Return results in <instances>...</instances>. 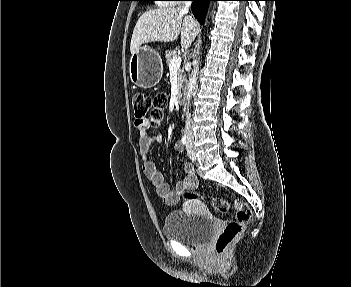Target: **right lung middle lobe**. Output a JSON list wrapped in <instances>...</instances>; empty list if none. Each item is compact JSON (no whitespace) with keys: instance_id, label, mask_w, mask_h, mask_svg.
<instances>
[{"instance_id":"right-lung-middle-lobe-1","label":"right lung middle lobe","mask_w":351,"mask_h":287,"mask_svg":"<svg viewBox=\"0 0 351 287\" xmlns=\"http://www.w3.org/2000/svg\"><path fill=\"white\" fill-rule=\"evenodd\" d=\"M138 1H152V0H138Z\"/></svg>"}]
</instances>
